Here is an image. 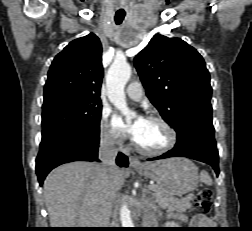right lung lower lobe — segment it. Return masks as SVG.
<instances>
[{"label":"right lung lower lobe","mask_w":252,"mask_h":231,"mask_svg":"<svg viewBox=\"0 0 252 231\" xmlns=\"http://www.w3.org/2000/svg\"><path fill=\"white\" fill-rule=\"evenodd\" d=\"M99 135L75 131H60L42 138L36 158V173L40 185L46 175L55 167L72 161H99ZM116 163L128 166V158L119 153Z\"/></svg>","instance_id":"obj_1"}]
</instances>
